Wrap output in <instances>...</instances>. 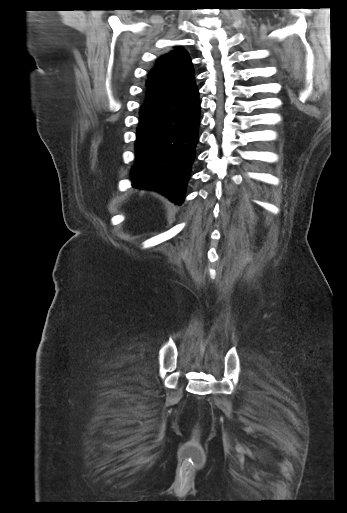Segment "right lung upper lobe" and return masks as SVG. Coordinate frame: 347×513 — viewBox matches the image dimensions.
Wrapping results in <instances>:
<instances>
[{
  "label": "right lung upper lobe",
  "instance_id": "obj_1",
  "mask_svg": "<svg viewBox=\"0 0 347 513\" xmlns=\"http://www.w3.org/2000/svg\"><path fill=\"white\" fill-rule=\"evenodd\" d=\"M194 83L189 54L180 46L157 59L146 86L147 98H161L180 92Z\"/></svg>",
  "mask_w": 347,
  "mask_h": 513
}]
</instances>
